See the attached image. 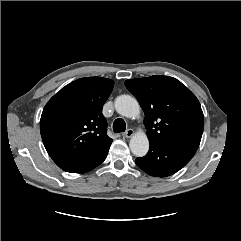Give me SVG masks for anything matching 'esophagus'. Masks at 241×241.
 <instances>
[{
	"mask_svg": "<svg viewBox=\"0 0 241 241\" xmlns=\"http://www.w3.org/2000/svg\"><path fill=\"white\" fill-rule=\"evenodd\" d=\"M134 135V130L133 129H127L126 132L124 133V137L130 138Z\"/></svg>",
	"mask_w": 241,
	"mask_h": 241,
	"instance_id": "1",
	"label": "esophagus"
}]
</instances>
